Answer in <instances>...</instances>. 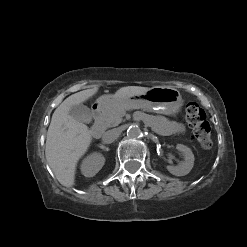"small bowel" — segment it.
Returning a JSON list of instances; mask_svg holds the SVG:
<instances>
[{"label": "small bowel", "mask_w": 247, "mask_h": 247, "mask_svg": "<svg viewBox=\"0 0 247 247\" xmlns=\"http://www.w3.org/2000/svg\"><path fill=\"white\" fill-rule=\"evenodd\" d=\"M147 121L154 126L156 131L160 134L167 135L173 132L183 130L182 125L173 121L167 120L163 117H147Z\"/></svg>", "instance_id": "obj_1"}]
</instances>
